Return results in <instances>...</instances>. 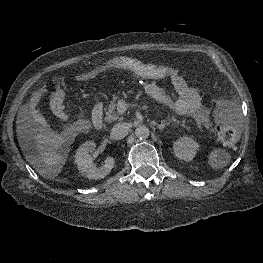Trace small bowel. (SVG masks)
Returning a JSON list of instances; mask_svg holds the SVG:
<instances>
[{"instance_id": "small-bowel-1", "label": "small bowel", "mask_w": 263, "mask_h": 263, "mask_svg": "<svg viewBox=\"0 0 263 263\" xmlns=\"http://www.w3.org/2000/svg\"><path fill=\"white\" fill-rule=\"evenodd\" d=\"M173 86L174 92L169 93L164 88L160 87L155 82H142L141 86L144 92L153 100L158 103L169 107L178 115H188L194 118L197 124L203 128H209L211 126L210 120V108L203 101L199 92L190 87L182 76L179 74L171 75L168 77ZM46 88H42L36 91L30 102L25 107V111L32 112L34 107L40 100ZM64 94H62L59 102L60 109L63 111ZM51 106L56 113L53 95L51 98Z\"/></svg>"}]
</instances>
